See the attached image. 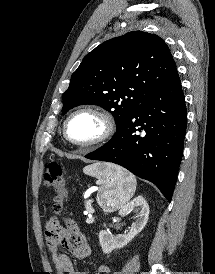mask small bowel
Listing matches in <instances>:
<instances>
[{
    "mask_svg": "<svg viewBox=\"0 0 215 274\" xmlns=\"http://www.w3.org/2000/svg\"><path fill=\"white\" fill-rule=\"evenodd\" d=\"M46 241L51 252L57 274H88L86 271H76L67 254L58 253L60 248L67 250L75 258L84 260L91 254V248L85 235L72 219L65 220V226L52 219L46 225ZM99 273H109L110 268L101 264Z\"/></svg>",
    "mask_w": 215,
    "mask_h": 274,
    "instance_id": "1",
    "label": "small bowel"
}]
</instances>
